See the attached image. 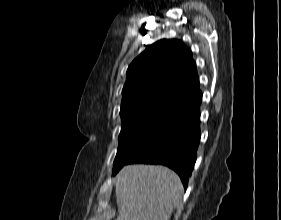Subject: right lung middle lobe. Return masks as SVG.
Wrapping results in <instances>:
<instances>
[{"label": "right lung middle lobe", "mask_w": 281, "mask_h": 220, "mask_svg": "<svg viewBox=\"0 0 281 220\" xmlns=\"http://www.w3.org/2000/svg\"><path fill=\"white\" fill-rule=\"evenodd\" d=\"M169 119L163 116H140L122 119L113 174L148 143Z\"/></svg>", "instance_id": "dd1d6c3e"}]
</instances>
